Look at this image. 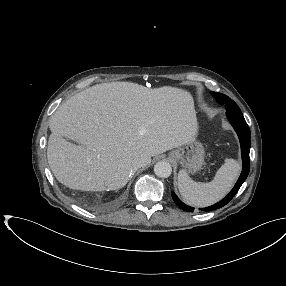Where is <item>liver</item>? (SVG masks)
Instances as JSON below:
<instances>
[{
  "label": "liver",
  "mask_w": 286,
  "mask_h": 286,
  "mask_svg": "<svg viewBox=\"0 0 286 286\" xmlns=\"http://www.w3.org/2000/svg\"><path fill=\"white\" fill-rule=\"evenodd\" d=\"M49 128L47 159L56 179L97 192L124 187L136 163L146 166L152 156L194 142L198 123L186 90L111 82L72 96Z\"/></svg>",
  "instance_id": "liver-1"
}]
</instances>
